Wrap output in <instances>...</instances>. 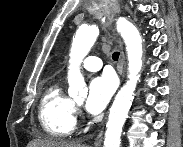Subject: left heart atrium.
<instances>
[{
	"instance_id": "left-heart-atrium-1",
	"label": "left heart atrium",
	"mask_w": 183,
	"mask_h": 147,
	"mask_svg": "<svg viewBox=\"0 0 183 147\" xmlns=\"http://www.w3.org/2000/svg\"><path fill=\"white\" fill-rule=\"evenodd\" d=\"M116 89V80L110 74H103L94 78L89 85V95L86 108L92 114L102 112Z\"/></svg>"
}]
</instances>
